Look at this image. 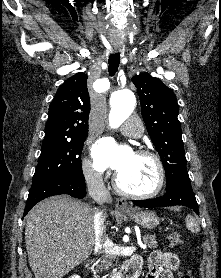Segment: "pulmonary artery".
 <instances>
[{"instance_id":"e3ab8cb5","label":"pulmonary artery","mask_w":221,"mask_h":278,"mask_svg":"<svg viewBox=\"0 0 221 278\" xmlns=\"http://www.w3.org/2000/svg\"><path fill=\"white\" fill-rule=\"evenodd\" d=\"M121 132L129 137L138 138L143 133V125L139 120L133 118L128 119L122 126Z\"/></svg>"}]
</instances>
